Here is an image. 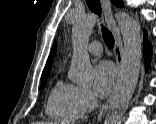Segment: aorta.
Instances as JSON below:
<instances>
[{
	"instance_id": "1",
	"label": "aorta",
	"mask_w": 156,
	"mask_h": 124,
	"mask_svg": "<svg viewBox=\"0 0 156 124\" xmlns=\"http://www.w3.org/2000/svg\"><path fill=\"white\" fill-rule=\"evenodd\" d=\"M115 18L124 43L122 71L104 124H121L137 86L142 59V38L138 24L124 12H117ZM96 20V15H86L77 19L72 28L73 56L70 78L77 84H90L93 81V68L87 45Z\"/></svg>"
}]
</instances>
